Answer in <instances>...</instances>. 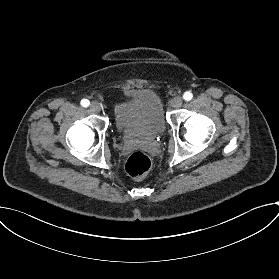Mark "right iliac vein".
Wrapping results in <instances>:
<instances>
[{"label":"right iliac vein","mask_w":279,"mask_h":279,"mask_svg":"<svg viewBox=\"0 0 279 279\" xmlns=\"http://www.w3.org/2000/svg\"><path fill=\"white\" fill-rule=\"evenodd\" d=\"M90 111L93 113H98L101 110V105L98 102H92L89 106Z\"/></svg>","instance_id":"1"}]
</instances>
